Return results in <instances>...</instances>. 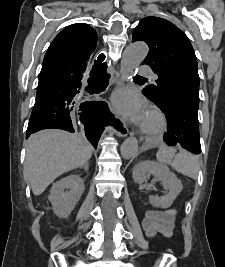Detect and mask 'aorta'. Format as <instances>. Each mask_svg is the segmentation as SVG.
<instances>
[{
  "label": "aorta",
  "mask_w": 225,
  "mask_h": 267,
  "mask_svg": "<svg viewBox=\"0 0 225 267\" xmlns=\"http://www.w3.org/2000/svg\"><path fill=\"white\" fill-rule=\"evenodd\" d=\"M149 48L144 42L130 44L124 51L121 60V72L126 80H129L136 72L140 63L145 59ZM138 141L134 137L127 138L121 145L122 158L129 160L136 156Z\"/></svg>",
  "instance_id": "aorta-1"
}]
</instances>
